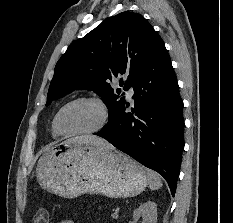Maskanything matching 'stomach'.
I'll list each match as a JSON object with an SVG mask.
<instances>
[{"mask_svg":"<svg viewBox=\"0 0 233 223\" xmlns=\"http://www.w3.org/2000/svg\"><path fill=\"white\" fill-rule=\"evenodd\" d=\"M146 167L111 147L61 141L38 159L39 185L61 197L96 193L106 197H134L149 181Z\"/></svg>","mask_w":233,"mask_h":223,"instance_id":"0dacf381","label":"stomach"}]
</instances>
